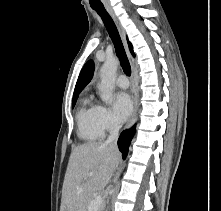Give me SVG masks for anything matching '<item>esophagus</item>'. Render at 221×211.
I'll use <instances>...</instances> for the list:
<instances>
[{"label":"esophagus","instance_id":"34e87169","mask_svg":"<svg viewBox=\"0 0 221 211\" xmlns=\"http://www.w3.org/2000/svg\"><path fill=\"white\" fill-rule=\"evenodd\" d=\"M108 13L110 14V16L112 17L118 31H119V34L122 38V41L124 43V46H125V49H126V53H127V56H128V59H129V62L132 66V77H133V80H134V76H135V72H134V59L131 55V53L129 52L128 50V46H127V43H126V38H125V31H124V28L123 26L121 25L118 17L115 15L114 11L112 9H108ZM132 104H133V111H132V114H131V117L129 118L127 124H126V129L130 128L133 123L135 122L136 120V117H137V114H138V108H139V104H138V95H137V92H136V89H135V86L133 85V91H132Z\"/></svg>","mask_w":221,"mask_h":211}]
</instances>
